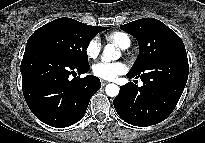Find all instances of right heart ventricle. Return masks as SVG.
<instances>
[{
	"label": "right heart ventricle",
	"instance_id": "obj_1",
	"mask_svg": "<svg viewBox=\"0 0 205 143\" xmlns=\"http://www.w3.org/2000/svg\"><path fill=\"white\" fill-rule=\"evenodd\" d=\"M106 38L114 42L122 49H127L131 45V40L129 36L122 31H115L106 35Z\"/></svg>",
	"mask_w": 205,
	"mask_h": 143
}]
</instances>
